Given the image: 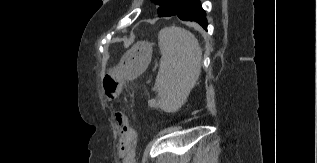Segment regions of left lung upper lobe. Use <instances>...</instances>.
Wrapping results in <instances>:
<instances>
[{"mask_svg": "<svg viewBox=\"0 0 317 163\" xmlns=\"http://www.w3.org/2000/svg\"><path fill=\"white\" fill-rule=\"evenodd\" d=\"M155 4L159 5V17L171 16L174 14L184 0H152Z\"/></svg>", "mask_w": 317, "mask_h": 163, "instance_id": "obj_1", "label": "left lung upper lobe"}]
</instances>
